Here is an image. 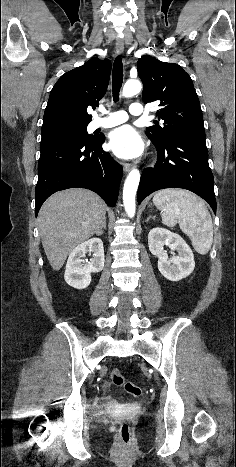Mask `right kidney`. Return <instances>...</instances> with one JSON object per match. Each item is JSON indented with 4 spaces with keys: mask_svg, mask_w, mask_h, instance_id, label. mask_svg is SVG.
<instances>
[{
    "mask_svg": "<svg viewBox=\"0 0 236 467\" xmlns=\"http://www.w3.org/2000/svg\"><path fill=\"white\" fill-rule=\"evenodd\" d=\"M92 253L90 262L83 264L85 254ZM104 247L100 238H92L78 245L70 253L66 264L64 279L76 289H84L91 282V273L100 272L104 267Z\"/></svg>",
    "mask_w": 236,
    "mask_h": 467,
    "instance_id": "ca27d5eb",
    "label": "right kidney"
}]
</instances>
